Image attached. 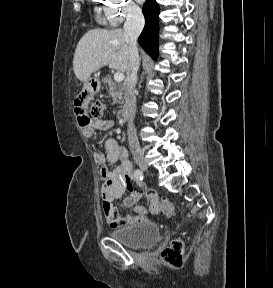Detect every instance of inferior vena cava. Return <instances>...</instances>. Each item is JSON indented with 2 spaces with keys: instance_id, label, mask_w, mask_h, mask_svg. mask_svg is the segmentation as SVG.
Returning <instances> with one entry per match:
<instances>
[{
  "instance_id": "inferior-vena-cava-1",
  "label": "inferior vena cava",
  "mask_w": 273,
  "mask_h": 288,
  "mask_svg": "<svg viewBox=\"0 0 273 288\" xmlns=\"http://www.w3.org/2000/svg\"><path fill=\"white\" fill-rule=\"evenodd\" d=\"M144 27V17L141 9L136 5H131L127 9V17L124 23V32L129 38V66L127 77L124 81L125 113L128 118L127 135L129 146L134 155L141 154L140 145L134 127L136 113V97L134 94L137 83V71L140 65L138 55L137 39Z\"/></svg>"
}]
</instances>
